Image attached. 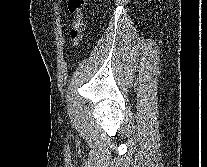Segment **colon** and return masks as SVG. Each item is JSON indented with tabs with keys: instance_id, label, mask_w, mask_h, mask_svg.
I'll return each mask as SVG.
<instances>
[{
	"instance_id": "obj_1",
	"label": "colon",
	"mask_w": 207,
	"mask_h": 167,
	"mask_svg": "<svg viewBox=\"0 0 207 167\" xmlns=\"http://www.w3.org/2000/svg\"><path fill=\"white\" fill-rule=\"evenodd\" d=\"M87 0H69L68 9L74 18L69 26V37L72 41L74 48L80 44L82 33L84 30L83 10Z\"/></svg>"
}]
</instances>
